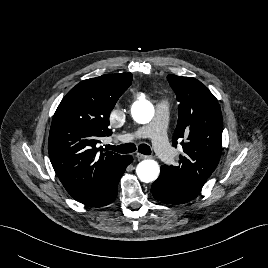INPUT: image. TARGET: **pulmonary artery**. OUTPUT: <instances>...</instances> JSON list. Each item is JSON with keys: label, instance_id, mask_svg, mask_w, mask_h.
Returning a JSON list of instances; mask_svg holds the SVG:
<instances>
[{"label": "pulmonary artery", "instance_id": "e3ab8cb5", "mask_svg": "<svg viewBox=\"0 0 268 268\" xmlns=\"http://www.w3.org/2000/svg\"><path fill=\"white\" fill-rule=\"evenodd\" d=\"M169 105L166 101H160L156 105V120L146 126L135 129L127 136L128 141L151 138L156 153L165 162L170 163L174 158L173 150L166 138L167 116Z\"/></svg>", "mask_w": 268, "mask_h": 268}]
</instances>
